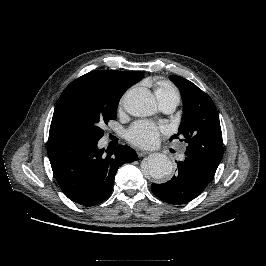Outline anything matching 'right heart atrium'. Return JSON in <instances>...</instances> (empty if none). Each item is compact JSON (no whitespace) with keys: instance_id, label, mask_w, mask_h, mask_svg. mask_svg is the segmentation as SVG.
<instances>
[{"instance_id":"1","label":"right heart atrium","mask_w":266,"mask_h":266,"mask_svg":"<svg viewBox=\"0 0 266 266\" xmlns=\"http://www.w3.org/2000/svg\"><path fill=\"white\" fill-rule=\"evenodd\" d=\"M123 104V99L120 101V105H122Z\"/></svg>"}]
</instances>
